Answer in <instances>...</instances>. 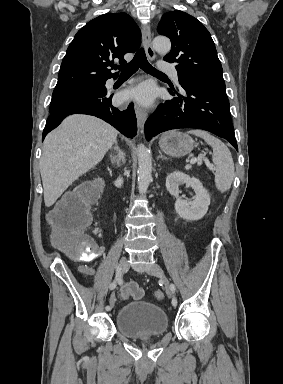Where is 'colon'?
I'll return each mask as SVG.
<instances>
[{
  "label": "colon",
  "mask_w": 283,
  "mask_h": 384,
  "mask_svg": "<svg viewBox=\"0 0 283 384\" xmlns=\"http://www.w3.org/2000/svg\"><path fill=\"white\" fill-rule=\"evenodd\" d=\"M95 192L91 186H82L67 194L50 212L49 224L57 246L70 257L77 260H92L97 255L94 242L84 232L91 220V205ZM122 297L140 299L142 289L137 284H128L122 288ZM156 300H162L161 290L154 292Z\"/></svg>",
  "instance_id": "1"
}]
</instances>
